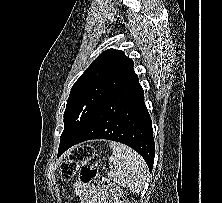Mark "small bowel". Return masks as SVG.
<instances>
[{
    "mask_svg": "<svg viewBox=\"0 0 222 203\" xmlns=\"http://www.w3.org/2000/svg\"><path fill=\"white\" fill-rule=\"evenodd\" d=\"M76 190L82 203H112L110 194L101 186L77 183Z\"/></svg>",
    "mask_w": 222,
    "mask_h": 203,
    "instance_id": "1",
    "label": "small bowel"
}]
</instances>
